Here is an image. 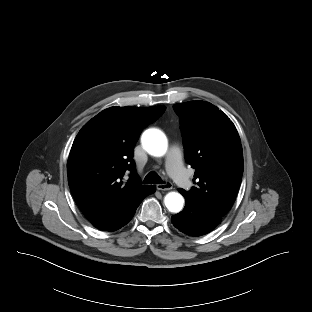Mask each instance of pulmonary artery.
Returning a JSON list of instances; mask_svg holds the SVG:
<instances>
[{"mask_svg": "<svg viewBox=\"0 0 312 312\" xmlns=\"http://www.w3.org/2000/svg\"><path fill=\"white\" fill-rule=\"evenodd\" d=\"M166 168L171 178L179 187L184 189L188 186L190 178L184 168L182 154L175 146L171 147L167 154Z\"/></svg>", "mask_w": 312, "mask_h": 312, "instance_id": "e3ab8cb5", "label": "pulmonary artery"}]
</instances>
